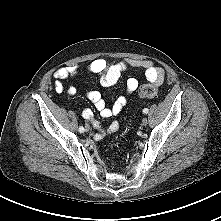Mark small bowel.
<instances>
[{
	"mask_svg": "<svg viewBox=\"0 0 221 221\" xmlns=\"http://www.w3.org/2000/svg\"><path fill=\"white\" fill-rule=\"evenodd\" d=\"M130 68L143 71L147 80L156 85H160L164 81V70L156 66L151 60L124 58L109 62L103 58H98L90 61L84 67H81L78 64H73L56 70L54 73V78L56 79L54 88L57 93L66 91L69 96H75L77 90L74 87H68L66 89L64 81L74 78L82 70L98 75L101 85L109 87L117 83L121 75ZM137 87L138 80L136 78L131 77L127 79L126 95L119 96L111 107L106 105L99 91H88L86 93V98L94 105L101 117L110 118L119 114L123 110L127 104V95L135 92ZM82 115L97 129L98 132L94 135L95 140H100L105 136L116 132L119 128L117 121H112L107 127H102L100 122L94 118L91 109H84Z\"/></svg>",
	"mask_w": 221,
	"mask_h": 221,
	"instance_id": "small-bowel-1",
	"label": "small bowel"
}]
</instances>
